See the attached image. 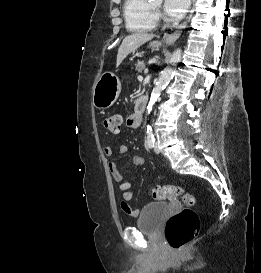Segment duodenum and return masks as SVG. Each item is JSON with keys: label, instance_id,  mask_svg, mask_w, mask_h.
Segmentation results:
<instances>
[{"label": "duodenum", "instance_id": "1", "mask_svg": "<svg viewBox=\"0 0 261 273\" xmlns=\"http://www.w3.org/2000/svg\"><path fill=\"white\" fill-rule=\"evenodd\" d=\"M147 100L145 97H140L135 104V112L133 114V127L140 126L143 118V112L146 107Z\"/></svg>", "mask_w": 261, "mask_h": 273}]
</instances>
